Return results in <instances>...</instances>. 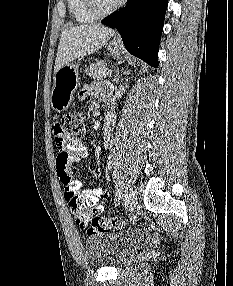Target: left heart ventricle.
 <instances>
[{
  "label": "left heart ventricle",
  "instance_id": "obj_1",
  "mask_svg": "<svg viewBox=\"0 0 233 286\" xmlns=\"http://www.w3.org/2000/svg\"><path fill=\"white\" fill-rule=\"evenodd\" d=\"M116 2L117 0H98L99 6L102 9H108L111 6H113Z\"/></svg>",
  "mask_w": 233,
  "mask_h": 286
}]
</instances>
